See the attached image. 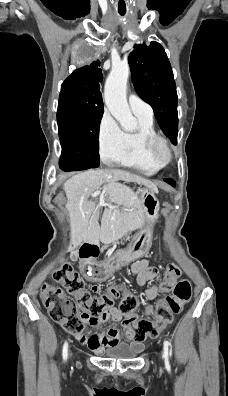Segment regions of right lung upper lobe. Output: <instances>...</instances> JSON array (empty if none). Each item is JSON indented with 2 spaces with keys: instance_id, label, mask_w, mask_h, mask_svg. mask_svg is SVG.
<instances>
[{
  "instance_id": "1",
  "label": "right lung upper lobe",
  "mask_w": 228,
  "mask_h": 396,
  "mask_svg": "<svg viewBox=\"0 0 228 396\" xmlns=\"http://www.w3.org/2000/svg\"><path fill=\"white\" fill-rule=\"evenodd\" d=\"M103 75L100 61L76 69L61 86L63 95H70L88 108H104L99 83Z\"/></svg>"
}]
</instances>
